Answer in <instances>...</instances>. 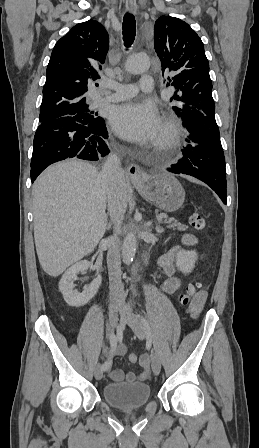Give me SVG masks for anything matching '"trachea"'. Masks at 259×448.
Segmentation results:
<instances>
[{
	"label": "trachea",
	"mask_w": 259,
	"mask_h": 448,
	"mask_svg": "<svg viewBox=\"0 0 259 448\" xmlns=\"http://www.w3.org/2000/svg\"><path fill=\"white\" fill-rule=\"evenodd\" d=\"M122 30L124 45L130 47L135 40L136 32L135 17L131 13L124 15Z\"/></svg>",
	"instance_id": "trachea-1"
}]
</instances>
